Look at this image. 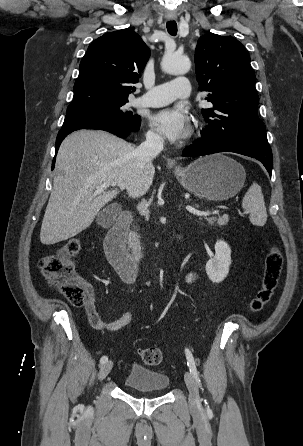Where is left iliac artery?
I'll return each mask as SVG.
<instances>
[{"label":"left iliac artery","instance_id":"obj_1","mask_svg":"<svg viewBox=\"0 0 303 446\" xmlns=\"http://www.w3.org/2000/svg\"><path fill=\"white\" fill-rule=\"evenodd\" d=\"M185 354H186L187 365L189 367V371L191 372V374L195 378V380L198 383V385L201 387V382H200L198 371H197V368H196V365H195L194 357H193L191 351L189 349H187V348L185 349ZM205 403L207 404L206 401H205ZM207 411L208 412L210 411L209 407L207 408Z\"/></svg>","mask_w":303,"mask_h":446}]
</instances>
